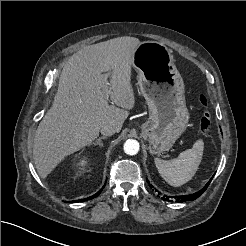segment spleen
Listing matches in <instances>:
<instances>
[{
  "instance_id": "spleen-1",
  "label": "spleen",
  "mask_w": 246,
  "mask_h": 246,
  "mask_svg": "<svg viewBox=\"0 0 246 246\" xmlns=\"http://www.w3.org/2000/svg\"><path fill=\"white\" fill-rule=\"evenodd\" d=\"M204 150L203 140H197L191 149L183 151L176 159L154 162L161 177L171 186L179 187L190 181L201 163Z\"/></svg>"
}]
</instances>
